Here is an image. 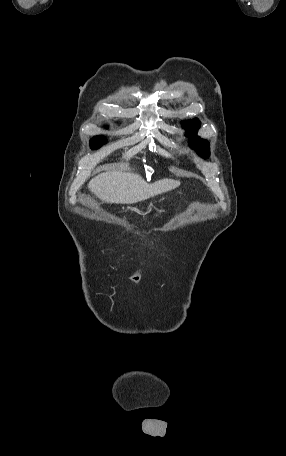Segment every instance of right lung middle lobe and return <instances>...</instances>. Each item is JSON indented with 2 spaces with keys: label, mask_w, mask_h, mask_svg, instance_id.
Returning a JSON list of instances; mask_svg holds the SVG:
<instances>
[{
  "label": "right lung middle lobe",
  "mask_w": 286,
  "mask_h": 456,
  "mask_svg": "<svg viewBox=\"0 0 286 456\" xmlns=\"http://www.w3.org/2000/svg\"><path fill=\"white\" fill-rule=\"evenodd\" d=\"M105 139L100 137V136H96V137H93L90 141V146L92 149H97L99 148L100 146H102L103 144H105Z\"/></svg>",
  "instance_id": "right-lung-middle-lobe-1"
}]
</instances>
